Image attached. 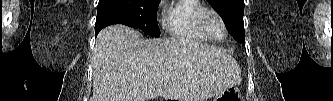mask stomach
<instances>
[{
	"label": "stomach",
	"instance_id": "stomach-1",
	"mask_svg": "<svg viewBox=\"0 0 333 101\" xmlns=\"http://www.w3.org/2000/svg\"><path fill=\"white\" fill-rule=\"evenodd\" d=\"M214 101H243V99L239 89L235 86H231L223 90Z\"/></svg>",
	"mask_w": 333,
	"mask_h": 101
}]
</instances>
